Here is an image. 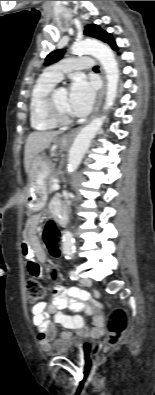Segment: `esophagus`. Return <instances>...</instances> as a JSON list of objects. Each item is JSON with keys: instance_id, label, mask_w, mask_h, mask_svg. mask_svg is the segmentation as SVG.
Masks as SVG:
<instances>
[{"instance_id": "obj_1", "label": "esophagus", "mask_w": 155, "mask_h": 395, "mask_svg": "<svg viewBox=\"0 0 155 395\" xmlns=\"http://www.w3.org/2000/svg\"><path fill=\"white\" fill-rule=\"evenodd\" d=\"M100 71H101V74H102L103 85H102V88H101V90H100V92H99V95H98V98H97V101H96V105H95L93 114H92V116L90 117V119H92V118L96 115V113L98 112L99 107H100V105H101V103H102L104 94H105V90H106V78H105V73H104V70H103L102 67H100ZM77 132H78V129H76V130H74V131H72V132L66 134V135L64 136V139H65V140H71V139H73V138L75 137V135L77 134Z\"/></svg>"}]
</instances>
